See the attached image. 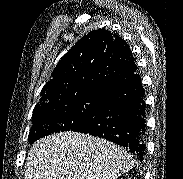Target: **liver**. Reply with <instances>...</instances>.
Here are the masks:
<instances>
[{
    "label": "liver",
    "instance_id": "1",
    "mask_svg": "<svg viewBox=\"0 0 183 179\" xmlns=\"http://www.w3.org/2000/svg\"><path fill=\"white\" fill-rule=\"evenodd\" d=\"M133 164L131 155L112 142L60 132L32 145L24 179H117Z\"/></svg>",
    "mask_w": 183,
    "mask_h": 179
}]
</instances>
